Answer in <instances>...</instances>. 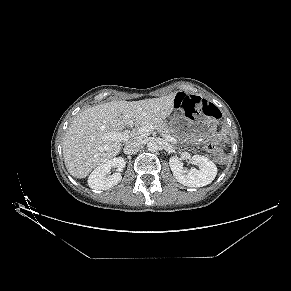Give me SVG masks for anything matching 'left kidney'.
Wrapping results in <instances>:
<instances>
[{
	"mask_svg": "<svg viewBox=\"0 0 291 291\" xmlns=\"http://www.w3.org/2000/svg\"><path fill=\"white\" fill-rule=\"evenodd\" d=\"M191 163L199 166V169H187L177 156L169 159V165L176 180L188 187H203L210 184L217 175L216 165L207 157L194 155Z\"/></svg>",
	"mask_w": 291,
	"mask_h": 291,
	"instance_id": "5707ae66",
	"label": "left kidney"
}]
</instances>
